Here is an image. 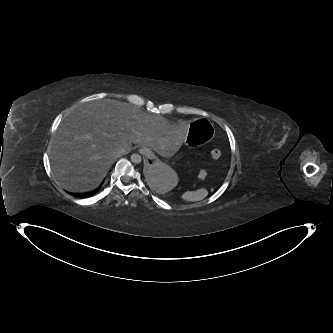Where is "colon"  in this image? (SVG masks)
<instances>
[{
  "label": "colon",
  "mask_w": 333,
  "mask_h": 333,
  "mask_svg": "<svg viewBox=\"0 0 333 333\" xmlns=\"http://www.w3.org/2000/svg\"><path fill=\"white\" fill-rule=\"evenodd\" d=\"M211 157L213 160H218L221 156V150L219 148H213L210 152ZM201 178H204L206 176V171L205 170H201L199 173Z\"/></svg>",
  "instance_id": "1"
}]
</instances>
